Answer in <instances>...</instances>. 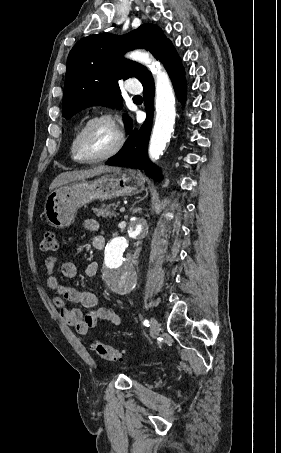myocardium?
<instances>
[{
    "label": "myocardium",
    "mask_w": 281,
    "mask_h": 453,
    "mask_svg": "<svg viewBox=\"0 0 281 453\" xmlns=\"http://www.w3.org/2000/svg\"><path fill=\"white\" fill-rule=\"evenodd\" d=\"M107 123L111 125L117 132V142L105 153L98 155L93 158L83 159L79 156V144L80 141L85 134L86 130L95 123ZM125 143V133L121 126L116 122V120L107 114L95 115L88 120H86L76 132L74 139H73V147L72 152L75 160L83 164H93L98 163L104 160H107L113 156H115L123 147Z\"/></svg>",
    "instance_id": "myocardium-1"
}]
</instances>
